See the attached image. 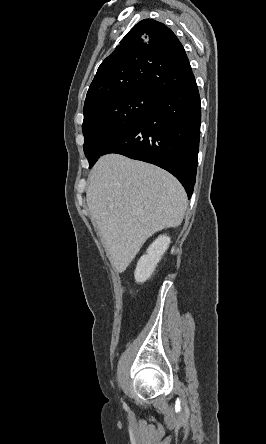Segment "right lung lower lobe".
Here are the masks:
<instances>
[{
    "label": "right lung lower lobe",
    "mask_w": 266,
    "mask_h": 444,
    "mask_svg": "<svg viewBox=\"0 0 266 444\" xmlns=\"http://www.w3.org/2000/svg\"><path fill=\"white\" fill-rule=\"evenodd\" d=\"M201 104L195 79L159 97L150 113L104 149L157 165L173 174L188 198L196 180Z\"/></svg>",
    "instance_id": "1"
}]
</instances>
